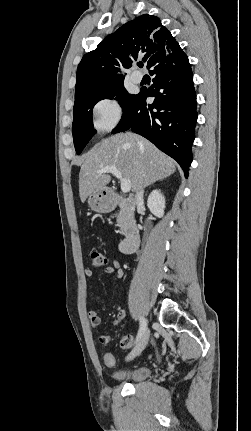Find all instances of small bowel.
<instances>
[{"label": "small bowel", "mask_w": 251, "mask_h": 431, "mask_svg": "<svg viewBox=\"0 0 251 431\" xmlns=\"http://www.w3.org/2000/svg\"><path fill=\"white\" fill-rule=\"evenodd\" d=\"M104 272L106 274L114 275L116 278H122L124 276V270L121 267L120 263L116 260L112 262L111 265H107L104 268ZM84 274L86 277L90 278L93 276V270L90 268H86L84 270ZM88 319L92 327L97 328L101 324V318L95 310H89ZM126 316V312L124 309H118V312L113 320V326L118 325ZM112 340V337L109 333L102 334L99 337V342L103 345H108Z\"/></svg>", "instance_id": "small-bowel-1"}]
</instances>
